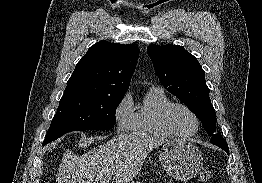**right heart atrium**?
<instances>
[{
    "label": "right heart atrium",
    "mask_w": 262,
    "mask_h": 183,
    "mask_svg": "<svg viewBox=\"0 0 262 183\" xmlns=\"http://www.w3.org/2000/svg\"><path fill=\"white\" fill-rule=\"evenodd\" d=\"M134 114L132 97L129 93H126L114 109V119L119 133H125L131 130Z\"/></svg>",
    "instance_id": "d8ad5b80"
}]
</instances>
